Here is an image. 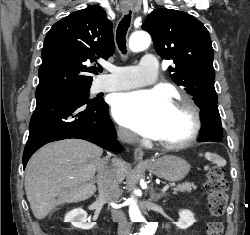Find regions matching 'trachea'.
<instances>
[{"mask_svg": "<svg viewBox=\"0 0 250 235\" xmlns=\"http://www.w3.org/2000/svg\"><path fill=\"white\" fill-rule=\"evenodd\" d=\"M130 23H131V11L129 12V14L125 15L122 18V20L118 24L117 31H116L117 45H118L119 50L123 54H126V52H127V50H126V34L128 31V28L130 27ZM96 70L98 72H102L103 68L98 67Z\"/></svg>", "mask_w": 250, "mask_h": 235, "instance_id": "obj_1", "label": "trachea"}]
</instances>
